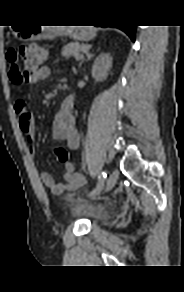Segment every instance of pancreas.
Listing matches in <instances>:
<instances>
[{
    "instance_id": "1",
    "label": "pancreas",
    "mask_w": 184,
    "mask_h": 292,
    "mask_svg": "<svg viewBox=\"0 0 184 292\" xmlns=\"http://www.w3.org/2000/svg\"><path fill=\"white\" fill-rule=\"evenodd\" d=\"M88 45L86 44H80L77 42H70L67 45H65L62 49V56L68 58L71 56H80L82 53L88 49Z\"/></svg>"
}]
</instances>
